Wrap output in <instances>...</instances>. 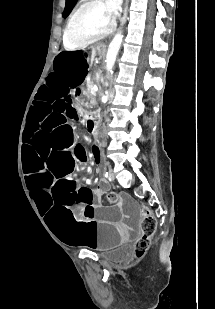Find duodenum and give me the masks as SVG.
<instances>
[{
  "mask_svg": "<svg viewBox=\"0 0 215 309\" xmlns=\"http://www.w3.org/2000/svg\"><path fill=\"white\" fill-rule=\"evenodd\" d=\"M100 118V115L97 113L89 114L87 117V127L89 130H95V126Z\"/></svg>",
  "mask_w": 215,
  "mask_h": 309,
  "instance_id": "obj_1",
  "label": "duodenum"
}]
</instances>
